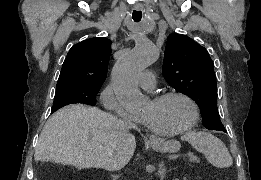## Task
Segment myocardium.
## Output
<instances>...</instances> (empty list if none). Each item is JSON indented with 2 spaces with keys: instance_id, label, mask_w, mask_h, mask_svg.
<instances>
[{
  "instance_id": "1",
  "label": "myocardium",
  "mask_w": 261,
  "mask_h": 180,
  "mask_svg": "<svg viewBox=\"0 0 261 180\" xmlns=\"http://www.w3.org/2000/svg\"><path fill=\"white\" fill-rule=\"evenodd\" d=\"M169 97H180L189 104L190 109H191L190 119H189L187 125L185 126V128L182 131H180L176 134L163 136V137L156 136V135L152 134L150 132V130L148 129V127L139 120L141 132L143 133V135L145 137H147L150 140H158V139L177 140V139H181L185 135H187L192 130V128L195 126V124L197 123V120H198V117H199L198 104L194 100V98L191 97L186 92L181 91V90H168V91H163V92L152 94L151 99L153 101H159V100L166 99V98H169Z\"/></svg>"
}]
</instances>
